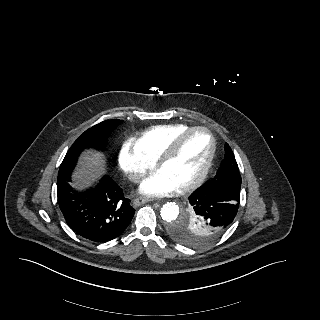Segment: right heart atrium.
I'll use <instances>...</instances> for the list:
<instances>
[{
  "label": "right heart atrium",
  "instance_id": "1",
  "mask_svg": "<svg viewBox=\"0 0 320 320\" xmlns=\"http://www.w3.org/2000/svg\"><path fill=\"white\" fill-rule=\"evenodd\" d=\"M119 165L126 177L137 183L153 168L154 162L148 160L133 141H127L121 148Z\"/></svg>",
  "mask_w": 320,
  "mask_h": 320
}]
</instances>
